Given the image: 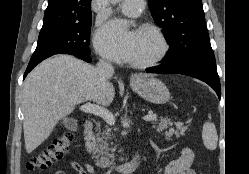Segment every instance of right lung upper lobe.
Masks as SVG:
<instances>
[{"mask_svg":"<svg viewBox=\"0 0 249 174\" xmlns=\"http://www.w3.org/2000/svg\"><path fill=\"white\" fill-rule=\"evenodd\" d=\"M90 3L91 0H48L42 28L89 19Z\"/></svg>","mask_w":249,"mask_h":174,"instance_id":"obj_1","label":"right lung upper lobe"}]
</instances>
